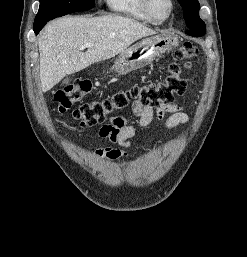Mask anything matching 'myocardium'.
Segmentation results:
<instances>
[{
    "mask_svg": "<svg viewBox=\"0 0 247 257\" xmlns=\"http://www.w3.org/2000/svg\"><path fill=\"white\" fill-rule=\"evenodd\" d=\"M167 2L169 4L168 12L164 16L159 17L154 11V0H142L143 10L152 23L162 24L172 16L175 9L174 0H167Z\"/></svg>",
    "mask_w": 247,
    "mask_h": 257,
    "instance_id": "myocardium-1",
    "label": "myocardium"
}]
</instances>
